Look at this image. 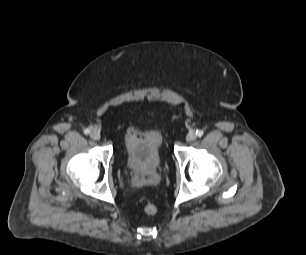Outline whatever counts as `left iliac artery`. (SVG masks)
<instances>
[{
	"mask_svg": "<svg viewBox=\"0 0 306 255\" xmlns=\"http://www.w3.org/2000/svg\"><path fill=\"white\" fill-rule=\"evenodd\" d=\"M203 134H204L203 130H197V131H196V135H197L198 137H202Z\"/></svg>",
	"mask_w": 306,
	"mask_h": 255,
	"instance_id": "1",
	"label": "left iliac artery"
}]
</instances>
